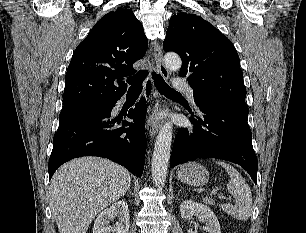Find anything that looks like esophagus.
<instances>
[{
    "instance_id": "esophagus-1",
    "label": "esophagus",
    "mask_w": 306,
    "mask_h": 233,
    "mask_svg": "<svg viewBox=\"0 0 306 233\" xmlns=\"http://www.w3.org/2000/svg\"><path fill=\"white\" fill-rule=\"evenodd\" d=\"M154 55H155V61H156V69L157 71L165 78L169 77V72L164 65L163 62V53H162V48L159 43H156L154 47ZM154 98H155V105L153 108L152 113L150 114L148 123H147V130L148 133L151 137H153L159 130L160 128V120L156 117V113L159 110V100H160V95L155 92L154 93Z\"/></svg>"
}]
</instances>
